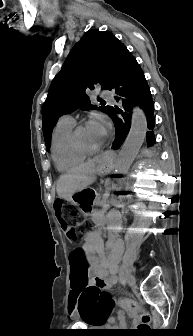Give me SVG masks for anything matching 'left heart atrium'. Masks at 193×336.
Returning <instances> with one entry per match:
<instances>
[{
	"label": "left heart atrium",
	"instance_id": "obj_1",
	"mask_svg": "<svg viewBox=\"0 0 193 336\" xmlns=\"http://www.w3.org/2000/svg\"><path fill=\"white\" fill-rule=\"evenodd\" d=\"M89 127L96 132L102 139L106 136L109 122L106 117L102 115H96L93 119L89 122Z\"/></svg>",
	"mask_w": 193,
	"mask_h": 336
}]
</instances>
